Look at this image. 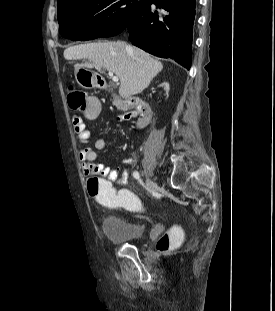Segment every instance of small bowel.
<instances>
[{
  "label": "small bowel",
  "mask_w": 275,
  "mask_h": 311,
  "mask_svg": "<svg viewBox=\"0 0 275 311\" xmlns=\"http://www.w3.org/2000/svg\"><path fill=\"white\" fill-rule=\"evenodd\" d=\"M136 115L137 112H129L121 115L119 120L126 121ZM73 129L77 136L78 159L81 163L84 176L92 178L93 175H102L103 178H110L111 183H117L119 186H125L128 180L127 169H112L104 163L96 162V151L88 145L90 141V134L81 118L75 117L73 119ZM105 146L106 140L104 138H98L94 142V148L96 150H102ZM123 163H131V159H124Z\"/></svg>",
  "instance_id": "obj_1"
}]
</instances>
